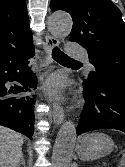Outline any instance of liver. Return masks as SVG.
<instances>
[{
  "label": "liver",
  "instance_id": "1",
  "mask_svg": "<svg viewBox=\"0 0 125 167\" xmlns=\"http://www.w3.org/2000/svg\"><path fill=\"white\" fill-rule=\"evenodd\" d=\"M23 136L9 128L0 126V167H17L23 145Z\"/></svg>",
  "mask_w": 125,
  "mask_h": 167
}]
</instances>
